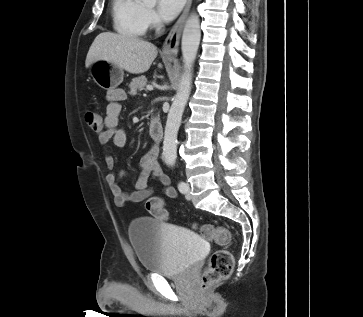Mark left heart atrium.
Masks as SVG:
<instances>
[{"label":"left heart atrium","instance_id":"left-heart-atrium-1","mask_svg":"<svg viewBox=\"0 0 363 317\" xmlns=\"http://www.w3.org/2000/svg\"><path fill=\"white\" fill-rule=\"evenodd\" d=\"M185 0H158V13L164 20L174 19L180 12Z\"/></svg>","mask_w":363,"mask_h":317}]
</instances>
